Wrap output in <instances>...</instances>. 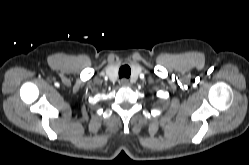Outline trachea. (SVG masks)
I'll use <instances>...</instances> for the list:
<instances>
[{
    "mask_svg": "<svg viewBox=\"0 0 249 165\" xmlns=\"http://www.w3.org/2000/svg\"><path fill=\"white\" fill-rule=\"evenodd\" d=\"M131 74V69L128 65H123L119 69V77L120 78H129Z\"/></svg>",
    "mask_w": 249,
    "mask_h": 165,
    "instance_id": "1",
    "label": "trachea"
}]
</instances>
